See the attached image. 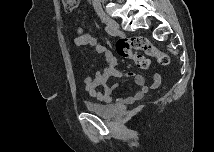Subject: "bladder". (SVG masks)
<instances>
[{"label":"bladder","instance_id":"bladder-1","mask_svg":"<svg viewBox=\"0 0 215 152\" xmlns=\"http://www.w3.org/2000/svg\"><path fill=\"white\" fill-rule=\"evenodd\" d=\"M86 107L89 111L103 117L113 115L117 109V107L113 104H99L93 101H86Z\"/></svg>","mask_w":215,"mask_h":152}]
</instances>
